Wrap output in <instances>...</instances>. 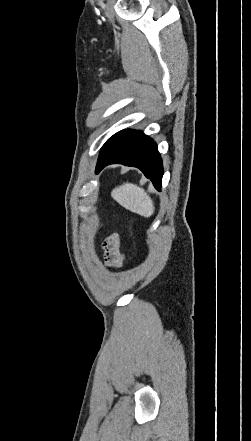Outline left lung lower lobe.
I'll list each match as a JSON object with an SVG mask.
<instances>
[{
    "label": "left lung lower lobe",
    "instance_id": "0a47b994",
    "mask_svg": "<svg viewBox=\"0 0 251 441\" xmlns=\"http://www.w3.org/2000/svg\"><path fill=\"white\" fill-rule=\"evenodd\" d=\"M113 163L139 168L160 190L163 166L156 143L142 131L123 130L107 140L101 149L96 173Z\"/></svg>",
    "mask_w": 251,
    "mask_h": 441
}]
</instances>
